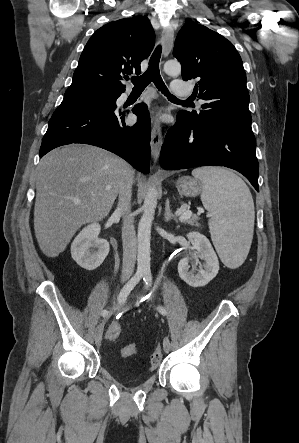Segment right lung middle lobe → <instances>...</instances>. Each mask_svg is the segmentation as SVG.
<instances>
[{
	"label": "right lung middle lobe",
	"instance_id": "dd1d6c3e",
	"mask_svg": "<svg viewBox=\"0 0 299 443\" xmlns=\"http://www.w3.org/2000/svg\"><path fill=\"white\" fill-rule=\"evenodd\" d=\"M120 94L93 88L69 87L63 102L96 105L103 108H116Z\"/></svg>",
	"mask_w": 299,
	"mask_h": 443
}]
</instances>
